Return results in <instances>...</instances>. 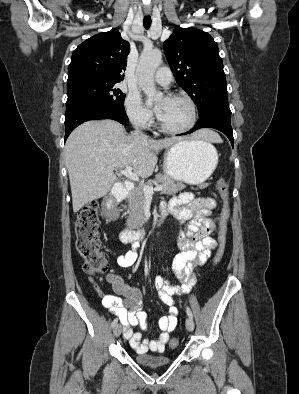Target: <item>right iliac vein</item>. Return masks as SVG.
Masks as SVG:
<instances>
[{
  "label": "right iliac vein",
  "mask_w": 299,
  "mask_h": 394,
  "mask_svg": "<svg viewBox=\"0 0 299 394\" xmlns=\"http://www.w3.org/2000/svg\"><path fill=\"white\" fill-rule=\"evenodd\" d=\"M121 331H122V326H121V324H116L115 327H114V329H113V334H114V336H115L116 338L119 337L120 334H121Z\"/></svg>",
  "instance_id": "1"
}]
</instances>
